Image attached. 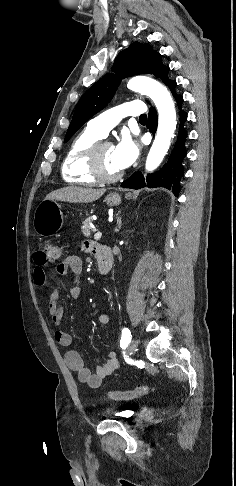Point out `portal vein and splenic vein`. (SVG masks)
<instances>
[{"mask_svg":"<svg viewBox=\"0 0 236 486\" xmlns=\"http://www.w3.org/2000/svg\"><path fill=\"white\" fill-rule=\"evenodd\" d=\"M101 237H102V233L101 232H97V233L94 234V239L95 240H99Z\"/></svg>","mask_w":236,"mask_h":486,"instance_id":"portal-vein-and-splenic-vein-1","label":"portal vein and splenic vein"}]
</instances>
